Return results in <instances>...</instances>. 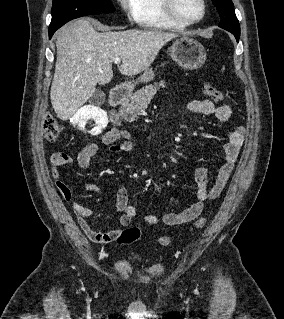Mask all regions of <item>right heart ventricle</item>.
<instances>
[{"mask_svg": "<svg viewBox=\"0 0 284 319\" xmlns=\"http://www.w3.org/2000/svg\"><path fill=\"white\" fill-rule=\"evenodd\" d=\"M135 21L145 29H182L186 27L167 16L162 0H138Z\"/></svg>", "mask_w": 284, "mask_h": 319, "instance_id": "right-heart-ventricle-1", "label": "right heart ventricle"}]
</instances>
